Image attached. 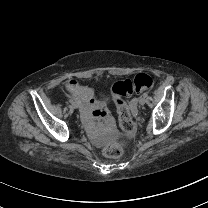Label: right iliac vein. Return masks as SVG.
<instances>
[{"instance_id": "1", "label": "right iliac vein", "mask_w": 208, "mask_h": 208, "mask_svg": "<svg viewBox=\"0 0 208 208\" xmlns=\"http://www.w3.org/2000/svg\"><path fill=\"white\" fill-rule=\"evenodd\" d=\"M79 107L78 103L77 102H74L73 103V108L77 109Z\"/></svg>"}]
</instances>
